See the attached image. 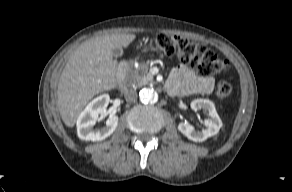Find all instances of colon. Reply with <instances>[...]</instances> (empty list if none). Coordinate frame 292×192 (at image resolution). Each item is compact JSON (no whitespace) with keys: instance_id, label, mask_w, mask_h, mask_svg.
Wrapping results in <instances>:
<instances>
[{"instance_id":"1","label":"colon","mask_w":292,"mask_h":192,"mask_svg":"<svg viewBox=\"0 0 292 192\" xmlns=\"http://www.w3.org/2000/svg\"><path fill=\"white\" fill-rule=\"evenodd\" d=\"M152 47L165 56L176 57L184 65L196 70L198 75L208 77L228 70L229 63L205 45L184 37L158 34L151 40ZM232 92L231 83L225 78L215 82L214 93L219 101L226 100Z\"/></svg>"}]
</instances>
